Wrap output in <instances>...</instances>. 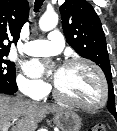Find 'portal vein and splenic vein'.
<instances>
[{
  "label": "portal vein and splenic vein",
  "mask_w": 117,
  "mask_h": 131,
  "mask_svg": "<svg viewBox=\"0 0 117 131\" xmlns=\"http://www.w3.org/2000/svg\"><path fill=\"white\" fill-rule=\"evenodd\" d=\"M8 128H9V126L7 125V126H5L4 128H3V131H7L8 130Z\"/></svg>",
  "instance_id": "portal-vein-and-splenic-vein-1"
}]
</instances>
